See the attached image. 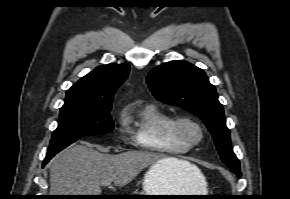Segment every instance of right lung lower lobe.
<instances>
[{
  "label": "right lung lower lobe",
  "mask_w": 290,
  "mask_h": 199,
  "mask_svg": "<svg viewBox=\"0 0 290 199\" xmlns=\"http://www.w3.org/2000/svg\"><path fill=\"white\" fill-rule=\"evenodd\" d=\"M51 158L52 157L46 156L44 161H43V165H46L50 161Z\"/></svg>",
  "instance_id": "right-lung-lower-lobe-1"
}]
</instances>
